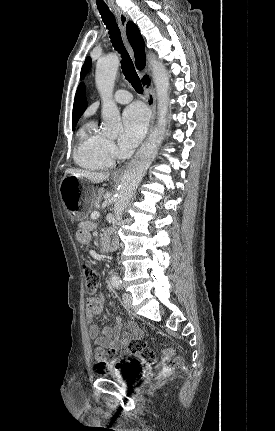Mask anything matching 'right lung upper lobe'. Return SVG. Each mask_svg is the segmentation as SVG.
<instances>
[{
    "instance_id": "1",
    "label": "right lung upper lobe",
    "mask_w": 275,
    "mask_h": 431,
    "mask_svg": "<svg viewBox=\"0 0 275 431\" xmlns=\"http://www.w3.org/2000/svg\"><path fill=\"white\" fill-rule=\"evenodd\" d=\"M127 37L135 53V63L138 69L145 67V44L139 32V29L133 22L127 23ZM87 108V101L85 98V89L83 84H80L74 100L72 125H76L81 115Z\"/></svg>"
}]
</instances>
